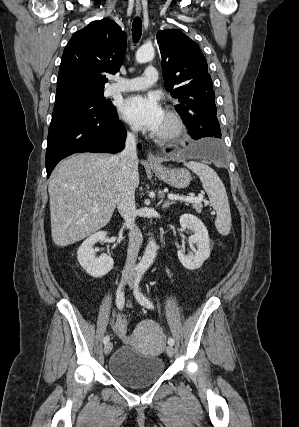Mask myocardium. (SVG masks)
Listing matches in <instances>:
<instances>
[{
	"instance_id": "myocardium-1",
	"label": "myocardium",
	"mask_w": 299,
	"mask_h": 427,
	"mask_svg": "<svg viewBox=\"0 0 299 427\" xmlns=\"http://www.w3.org/2000/svg\"><path fill=\"white\" fill-rule=\"evenodd\" d=\"M165 118L168 126L165 130L156 134V137L162 141H170L179 137L183 131V122L180 116L172 110L166 112Z\"/></svg>"
}]
</instances>
